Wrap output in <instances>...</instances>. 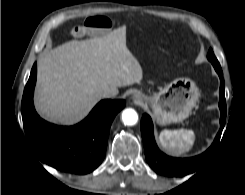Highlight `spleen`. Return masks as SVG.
I'll return each instance as SVG.
<instances>
[{
  "label": "spleen",
  "instance_id": "obj_1",
  "mask_svg": "<svg viewBox=\"0 0 245 195\" xmlns=\"http://www.w3.org/2000/svg\"><path fill=\"white\" fill-rule=\"evenodd\" d=\"M159 142L162 149L172 156H180L188 152L195 142V134L192 130H162L159 134Z\"/></svg>",
  "mask_w": 245,
  "mask_h": 195
}]
</instances>
